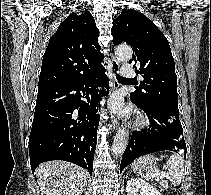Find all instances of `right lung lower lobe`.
<instances>
[{
	"instance_id": "1",
	"label": "right lung lower lobe",
	"mask_w": 211,
	"mask_h": 195,
	"mask_svg": "<svg viewBox=\"0 0 211 195\" xmlns=\"http://www.w3.org/2000/svg\"><path fill=\"white\" fill-rule=\"evenodd\" d=\"M104 72L102 67L87 78L38 91L29 136L33 173L40 163L51 160L69 161L92 173L99 123L97 111L103 95L97 86L108 85Z\"/></svg>"
}]
</instances>
